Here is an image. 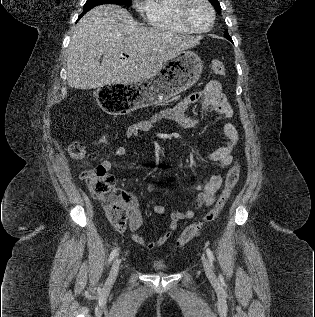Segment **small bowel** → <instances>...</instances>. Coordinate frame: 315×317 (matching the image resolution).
I'll return each mask as SVG.
<instances>
[{"mask_svg":"<svg viewBox=\"0 0 315 317\" xmlns=\"http://www.w3.org/2000/svg\"><path fill=\"white\" fill-rule=\"evenodd\" d=\"M199 101L202 102V110L204 112H207L210 109L214 110L227 120L224 124V133L227 137L226 144L207 155V158L210 161L218 162L221 167L227 168L232 162L231 153L238 142L239 136L237 128L232 120L233 110L222 93L221 85L216 81L207 83L203 89L182 98L172 108L161 111L151 120L141 121L129 125L125 131V137H137L144 132L150 131L157 123L163 120H173L183 128L194 127L197 125L198 120L186 115V110L192 104ZM125 153L126 149L123 146L118 147L115 152L117 156H122ZM101 165L108 171L112 168V162L108 159L103 160ZM221 184L222 177L220 175H213L204 184L192 185V189L198 192L194 201V209H200L203 206L211 205L214 201L216 192L221 187ZM154 190V185L149 183L147 186L148 193H153ZM120 192L125 197L128 205L129 227L132 232L131 238L136 244L144 246L149 250L165 244L171 237L173 231L176 230L179 221L191 219L195 214L194 209H189L185 212L173 211L171 213H167L164 206L151 200L150 204L153 211L162 217H167L169 219V223L165 233L158 239L154 241L147 240L137 233L143 223V217L137 199L127 191Z\"/></svg>","mask_w":315,"mask_h":317,"instance_id":"small-bowel-1","label":"small bowel"}]
</instances>
